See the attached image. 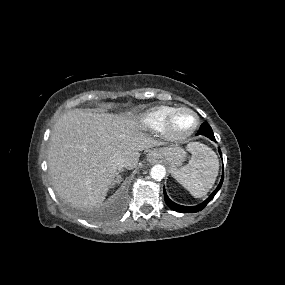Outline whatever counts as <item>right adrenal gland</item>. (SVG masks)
I'll return each instance as SVG.
<instances>
[{
  "label": "right adrenal gland",
  "mask_w": 285,
  "mask_h": 285,
  "mask_svg": "<svg viewBox=\"0 0 285 285\" xmlns=\"http://www.w3.org/2000/svg\"><path fill=\"white\" fill-rule=\"evenodd\" d=\"M123 170H119L118 172H117V176H116V179L114 180V182L112 183V187H115V185H117V184H120V182H121V175H120V173L122 172Z\"/></svg>",
  "instance_id": "1"
}]
</instances>
